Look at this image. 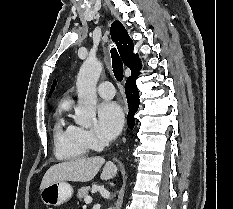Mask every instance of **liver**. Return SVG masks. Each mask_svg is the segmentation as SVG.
Returning a JSON list of instances; mask_svg holds the SVG:
<instances>
[{
    "instance_id": "liver-1",
    "label": "liver",
    "mask_w": 233,
    "mask_h": 209,
    "mask_svg": "<svg viewBox=\"0 0 233 209\" xmlns=\"http://www.w3.org/2000/svg\"><path fill=\"white\" fill-rule=\"evenodd\" d=\"M105 159L102 157L79 158L61 162L51 166L45 173L40 190L59 181L87 182L92 180L99 172ZM117 166L108 161L104 165L100 178L109 180L116 176Z\"/></svg>"
}]
</instances>
